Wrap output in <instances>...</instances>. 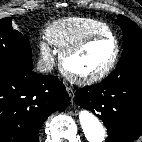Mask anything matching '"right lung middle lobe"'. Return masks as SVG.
<instances>
[{
    "mask_svg": "<svg viewBox=\"0 0 142 142\" xmlns=\"http://www.w3.org/2000/svg\"><path fill=\"white\" fill-rule=\"evenodd\" d=\"M32 51L26 35L12 28V18L0 20V70H31Z\"/></svg>",
    "mask_w": 142,
    "mask_h": 142,
    "instance_id": "dd1d6c3e",
    "label": "right lung middle lobe"
}]
</instances>
